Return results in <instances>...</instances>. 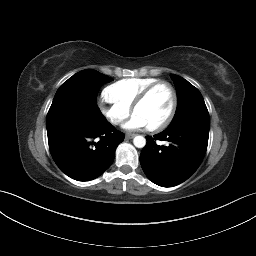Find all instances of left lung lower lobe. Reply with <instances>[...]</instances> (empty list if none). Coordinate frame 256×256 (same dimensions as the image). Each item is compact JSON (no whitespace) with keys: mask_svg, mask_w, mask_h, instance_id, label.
<instances>
[{"mask_svg":"<svg viewBox=\"0 0 256 256\" xmlns=\"http://www.w3.org/2000/svg\"><path fill=\"white\" fill-rule=\"evenodd\" d=\"M209 128L184 124L146 136L147 143L140 154L146 176L162 187H173L187 180L200 166L208 145ZM154 139L168 141L159 146Z\"/></svg>","mask_w":256,"mask_h":256,"instance_id":"0a47b994","label":"left lung lower lobe"}]
</instances>
